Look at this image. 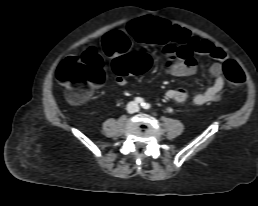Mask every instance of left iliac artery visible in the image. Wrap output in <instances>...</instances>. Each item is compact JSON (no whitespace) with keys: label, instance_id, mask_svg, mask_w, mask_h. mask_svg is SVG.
Returning a JSON list of instances; mask_svg holds the SVG:
<instances>
[{"label":"left iliac artery","instance_id":"obj_1","mask_svg":"<svg viewBox=\"0 0 258 206\" xmlns=\"http://www.w3.org/2000/svg\"><path fill=\"white\" fill-rule=\"evenodd\" d=\"M141 106H142L144 109L150 108V104H148V103H143V104H141Z\"/></svg>","mask_w":258,"mask_h":206}]
</instances>
